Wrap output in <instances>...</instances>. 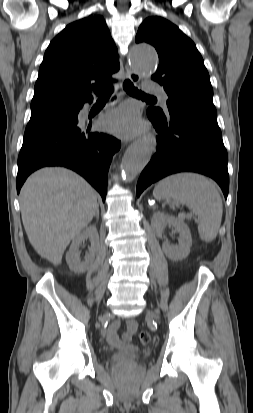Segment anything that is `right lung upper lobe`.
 <instances>
[{"label":"right lung upper lobe","instance_id":"1","mask_svg":"<svg viewBox=\"0 0 253 413\" xmlns=\"http://www.w3.org/2000/svg\"><path fill=\"white\" fill-rule=\"evenodd\" d=\"M120 68L117 49L102 16L69 24L50 43L40 65L31 114L81 108L91 90Z\"/></svg>","mask_w":253,"mask_h":413}]
</instances>
